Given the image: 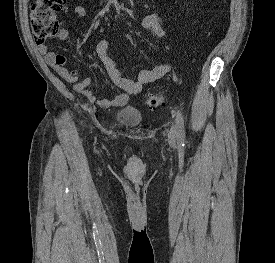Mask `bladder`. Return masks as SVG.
I'll return each instance as SVG.
<instances>
[{"mask_svg": "<svg viewBox=\"0 0 275 263\" xmlns=\"http://www.w3.org/2000/svg\"><path fill=\"white\" fill-rule=\"evenodd\" d=\"M116 118L120 123L133 127L141 124L143 115L137 108L125 106L117 112Z\"/></svg>", "mask_w": 275, "mask_h": 263, "instance_id": "obj_1", "label": "bladder"}]
</instances>
